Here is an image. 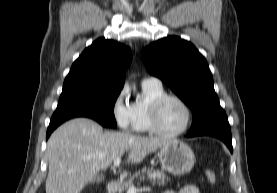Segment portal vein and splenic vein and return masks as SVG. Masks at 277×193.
<instances>
[{
  "instance_id": "18ae733b",
  "label": "portal vein and splenic vein",
  "mask_w": 277,
  "mask_h": 193,
  "mask_svg": "<svg viewBox=\"0 0 277 193\" xmlns=\"http://www.w3.org/2000/svg\"><path fill=\"white\" fill-rule=\"evenodd\" d=\"M120 163H121V158L120 157L116 158L114 160V167H119ZM137 191H138L137 188L134 185H131L127 193H136Z\"/></svg>"
}]
</instances>
